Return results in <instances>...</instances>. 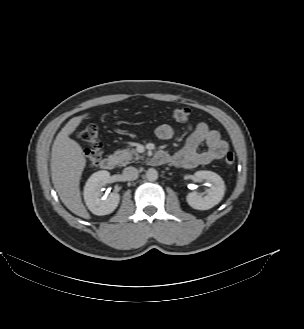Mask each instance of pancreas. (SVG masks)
Listing matches in <instances>:
<instances>
[{
  "label": "pancreas",
  "instance_id": "1",
  "mask_svg": "<svg viewBox=\"0 0 304 329\" xmlns=\"http://www.w3.org/2000/svg\"><path fill=\"white\" fill-rule=\"evenodd\" d=\"M114 156L120 166H126L131 161L134 162L142 158L135 149L130 148L117 150L114 152Z\"/></svg>",
  "mask_w": 304,
  "mask_h": 329
}]
</instances>
